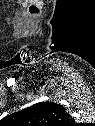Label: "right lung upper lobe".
<instances>
[{
    "instance_id": "1",
    "label": "right lung upper lobe",
    "mask_w": 95,
    "mask_h": 126,
    "mask_svg": "<svg viewBox=\"0 0 95 126\" xmlns=\"http://www.w3.org/2000/svg\"><path fill=\"white\" fill-rule=\"evenodd\" d=\"M6 119L14 126H71L73 120L65 108L55 102H39Z\"/></svg>"
}]
</instances>
